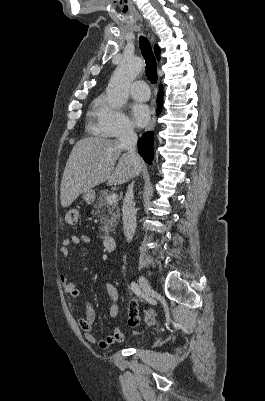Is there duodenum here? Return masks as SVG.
<instances>
[{
	"mask_svg": "<svg viewBox=\"0 0 265 401\" xmlns=\"http://www.w3.org/2000/svg\"><path fill=\"white\" fill-rule=\"evenodd\" d=\"M117 245V240L114 236H107L104 239V247L107 251L115 250Z\"/></svg>",
	"mask_w": 265,
	"mask_h": 401,
	"instance_id": "obj_1",
	"label": "duodenum"
}]
</instances>
